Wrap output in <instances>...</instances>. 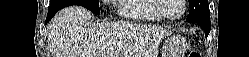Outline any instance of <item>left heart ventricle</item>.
I'll return each instance as SVG.
<instances>
[{
    "label": "left heart ventricle",
    "instance_id": "obj_1",
    "mask_svg": "<svg viewBox=\"0 0 249 57\" xmlns=\"http://www.w3.org/2000/svg\"><path fill=\"white\" fill-rule=\"evenodd\" d=\"M166 7L164 9L167 15L173 16L177 15L181 11V3L180 0H165Z\"/></svg>",
    "mask_w": 249,
    "mask_h": 57
}]
</instances>
